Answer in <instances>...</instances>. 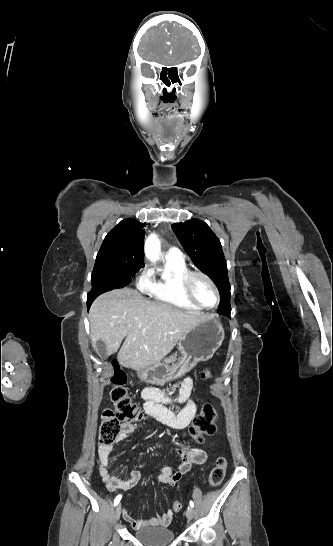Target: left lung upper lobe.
<instances>
[{
    "instance_id": "1",
    "label": "left lung upper lobe",
    "mask_w": 333,
    "mask_h": 546,
    "mask_svg": "<svg viewBox=\"0 0 333 546\" xmlns=\"http://www.w3.org/2000/svg\"><path fill=\"white\" fill-rule=\"evenodd\" d=\"M172 229L196 267L208 275L219 289L218 313L230 317V284L219 239L205 222L198 219L172 224Z\"/></svg>"
}]
</instances>
